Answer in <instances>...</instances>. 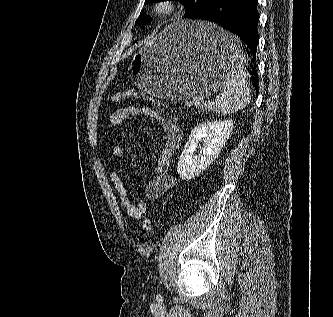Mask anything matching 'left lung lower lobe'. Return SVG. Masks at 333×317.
<instances>
[{"label":"left lung lower lobe","mask_w":333,"mask_h":317,"mask_svg":"<svg viewBox=\"0 0 333 317\" xmlns=\"http://www.w3.org/2000/svg\"><path fill=\"white\" fill-rule=\"evenodd\" d=\"M258 0H213L201 10L192 13L188 18L204 20L218 25L226 31L239 36L249 48V53L255 59L258 44ZM222 49L228 54L227 48ZM256 63L251 62L248 71L251 82L258 90V75Z\"/></svg>","instance_id":"left-lung-lower-lobe-1"}]
</instances>
